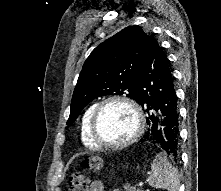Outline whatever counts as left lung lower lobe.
<instances>
[{
  "instance_id": "0a47b994",
  "label": "left lung lower lobe",
  "mask_w": 221,
  "mask_h": 191,
  "mask_svg": "<svg viewBox=\"0 0 221 191\" xmlns=\"http://www.w3.org/2000/svg\"><path fill=\"white\" fill-rule=\"evenodd\" d=\"M146 106L148 130L141 142L163 149L178 157L179 114L174 77L159 44L150 41L145 62L137 81V100Z\"/></svg>"
}]
</instances>
